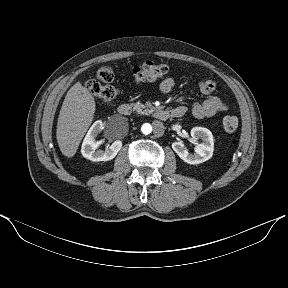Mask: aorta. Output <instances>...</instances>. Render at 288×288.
Returning a JSON list of instances; mask_svg holds the SVG:
<instances>
[{
	"label": "aorta",
	"instance_id": "obj_1",
	"mask_svg": "<svg viewBox=\"0 0 288 288\" xmlns=\"http://www.w3.org/2000/svg\"><path fill=\"white\" fill-rule=\"evenodd\" d=\"M141 131L147 135L150 134L152 132V126L150 124H144L141 128Z\"/></svg>",
	"mask_w": 288,
	"mask_h": 288
}]
</instances>
